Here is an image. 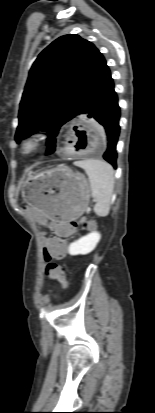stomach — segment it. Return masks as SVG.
Wrapping results in <instances>:
<instances>
[{
  "label": "stomach",
  "mask_w": 155,
  "mask_h": 413,
  "mask_svg": "<svg viewBox=\"0 0 155 413\" xmlns=\"http://www.w3.org/2000/svg\"><path fill=\"white\" fill-rule=\"evenodd\" d=\"M22 187L28 205L56 222L79 218L90 201L87 179L64 165L28 175Z\"/></svg>",
  "instance_id": "1"
}]
</instances>
